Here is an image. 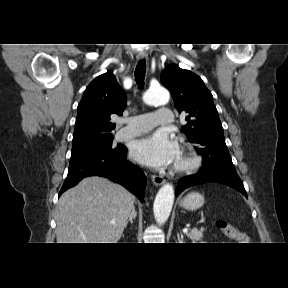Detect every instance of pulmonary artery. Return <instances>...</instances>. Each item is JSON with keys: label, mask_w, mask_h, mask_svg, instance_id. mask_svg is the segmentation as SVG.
<instances>
[{"label": "pulmonary artery", "mask_w": 288, "mask_h": 288, "mask_svg": "<svg viewBox=\"0 0 288 288\" xmlns=\"http://www.w3.org/2000/svg\"><path fill=\"white\" fill-rule=\"evenodd\" d=\"M172 121V111L167 108H160L154 113H142L131 117L127 125L116 133L115 138L116 140L131 138L148 132L158 125H170Z\"/></svg>", "instance_id": "obj_1"}]
</instances>
